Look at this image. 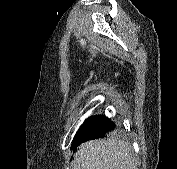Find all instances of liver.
Returning <instances> with one entry per match:
<instances>
[{"label":"liver","mask_w":177,"mask_h":169,"mask_svg":"<svg viewBox=\"0 0 177 169\" xmlns=\"http://www.w3.org/2000/svg\"><path fill=\"white\" fill-rule=\"evenodd\" d=\"M72 169H135L132 148L115 137L88 141L79 146Z\"/></svg>","instance_id":"obj_1"}]
</instances>
